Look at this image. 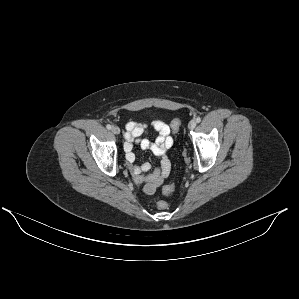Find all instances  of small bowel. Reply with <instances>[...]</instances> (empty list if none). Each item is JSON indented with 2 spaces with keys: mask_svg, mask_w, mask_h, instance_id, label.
Masks as SVG:
<instances>
[{
  "mask_svg": "<svg viewBox=\"0 0 299 299\" xmlns=\"http://www.w3.org/2000/svg\"><path fill=\"white\" fill-rule=\"evenodd\" d=\"M151 127L158 133L155 142H150L148 139L141 138L148 131L147 124L130 122L127 124V132L125 134L124 150L128 167L132 172L134 181L143 186V190L147 194H153L156 189L169 176L171 163L167 157V151L173 145V139L170 135L171 129L169 125L161 120L155 119L151 122ZM138 144L142 149H150L153 154L159 159V167L152 172L145 174L151 168L149 163L137 165L135 163V154L133 152V144Z\"/></svg>",
  "mask_w": 299,
  "mask_h": 299,
  "instance_id": "small-bowel-1",
  "label": "small bowel"
}]
</instances>
